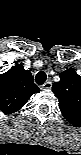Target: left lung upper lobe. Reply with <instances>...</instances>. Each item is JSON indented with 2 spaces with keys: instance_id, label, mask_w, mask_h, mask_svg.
Instances as JSON below:
<instances>
[{
  "instance_id": "left-lung-upper-lobe-1",
  "label": "left lung upper lobe",
  "mask_w": 81,
  "mask_h": 155,
  "mask_svg": "<svg viewBox=\"0 0 81 155\" xmlns=\"http://www.w3.org/2000/svg\"><path fill=\"white\" fill-rule=\"evenodd\" d=\"M52 91L59 99V108L65 119L74 126L81 125V76L73 69L60 73V81L53 83Z\"/></svg>"
}]
</instances>
